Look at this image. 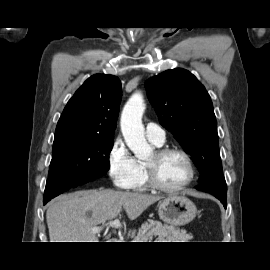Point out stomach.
Listing matches in <instances>:
<instances>
[{
  "label": "stomach",
  "mask_w": 270,
  "mask_h": 270,
  "mask_svg": "<svg viewBox=\"0 0 270 270\" xmlns=\"http://www.w3.org/2000/svg\"><path fill=\"white\" fill-rule=\"evenodd\" d=\"M160 219L172 226L190 223L197 214L195 204L183 195H169L159 202Z\"/></svg>",
  "instance_id": "0dacf381"
}]
</instances>
